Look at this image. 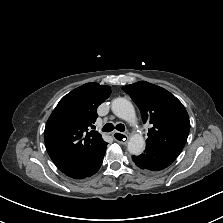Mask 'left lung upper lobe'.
Listing matches in <instances>:
<instances>
[{"label": "left lung upper lobe", "mask_w": 223, "mask_h": 223, "mask_svg": "<svg viewBox=\"0 0 223 223\" xmlns=\"http://www.w3.org/2000/svg\"><path fill=\"white\" fill-rule=\"evenodd\" d=\"M122 89L140 109L143 122L152 124L146 145L180 154L190 130L189 116L182 103L164 88L146 81Z\"/></svg>", "instance_id": "1"}]
</instances>
